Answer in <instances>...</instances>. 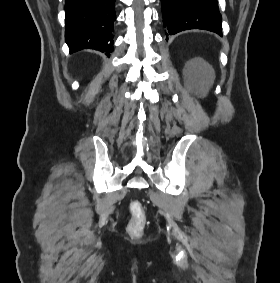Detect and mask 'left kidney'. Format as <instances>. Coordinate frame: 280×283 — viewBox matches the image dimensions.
<instances>
[{
    "label": "left kidney",
    "instance_id": "1",
    "mask_svg": "<svg viewBox=\"0 0 280 283\" xmlns=\"http://www.w3.org/2000/svg\"><path fill=\"white\" fill-rule=\"evenodd\" d=\"M202 62V60H193L191 63Z\"/></svg>",
    "mask_w": 280,
    "mask_h": 283
}]
</instances>
